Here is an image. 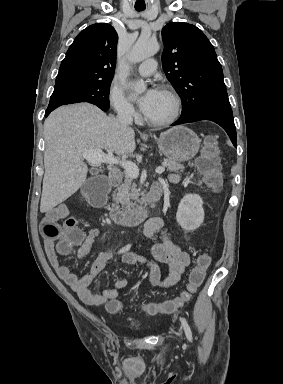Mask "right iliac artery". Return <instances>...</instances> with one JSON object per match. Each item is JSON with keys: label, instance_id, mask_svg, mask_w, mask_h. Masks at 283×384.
I'll return each mask as SVG.
<instances>
[{"label": "right iliac artery", "instance_id": "right-iliac-artery-1", "mask_svg": "<svg viewBox=\"0 0 283 384\" xmlns=\"http://www.w3.org/2000/svg\"><path fill=\"white\" fill-rule=\"evenodd\" d=\"M131 245L128 244L127 246L123 247L122 249L119 250V253H124L130 249Z\"/></svg>", "mask_w": 283, "mask_h": 384}]
</instances>
